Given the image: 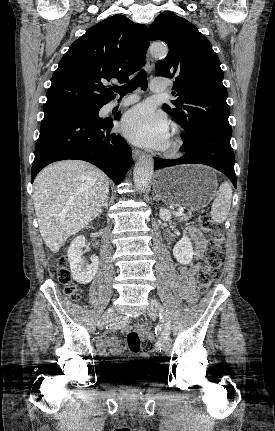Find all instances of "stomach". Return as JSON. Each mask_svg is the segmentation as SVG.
Returning a JSON list of instances; mask_svg holds the SVG:
<instances>
[{
    "instance_id": "1",
    "label": "stomach",
    "mask_w": 275,
    "mask_h": 431,
    "mask_svg": "<svg viewBox=\"0 0 275 431\" xmlns=\"http://www.w3.org/2000/svg\"><path fill=\"white\" fill-rule=\"evenodd\" d=\"M217 185L216 175L209 167L183 165L160 170L154 189L167 204L200 210L213 199Z\"/></svg>"
}]
</instances>
